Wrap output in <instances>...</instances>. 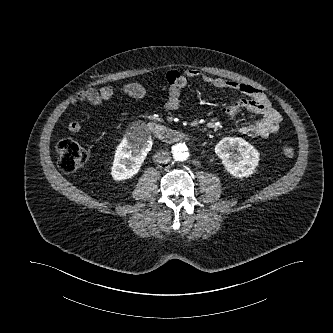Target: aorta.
Here are the masks:
<instances>
[{
  "label": "aorta",
  "instance_id": "1",
  "mask_svg": "<svg viewBox=\"0 0 333 333\" xmlns=\"http://www.w3.org/2000/svg\"><path fill=\"white\" fill-rule=\"evenodd\" d=\"M173 157L178 161H185L188 156V148L185 144H176L173 146Z\"/></svg>",
  "mask_w": 333,
  "mask_h": 333
}]
</instances>
